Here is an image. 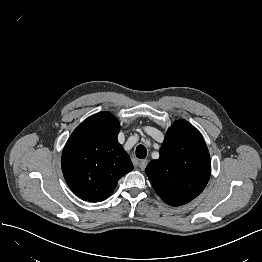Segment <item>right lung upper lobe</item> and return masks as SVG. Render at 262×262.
Masks as SVG:
<instances>
[{
  "instance_id": "obj_1",
  "label": "right lung upper lobe",
  "mask_w": 262,
  "mask_h": 262,
  "mask_svg": "<svg viewBox=\"0 0 262 262\" xmlns=\"http://www.w3.org/2000/svg\"><path fill=\"white\" fill-rule=\"evenodd\" d=\"M119 121L109 112L84 120L69 137L62 153V171L70 189L81 199L103 201L118 180L133 169L117 141Z\"/></svg>"
}]
</instances>
